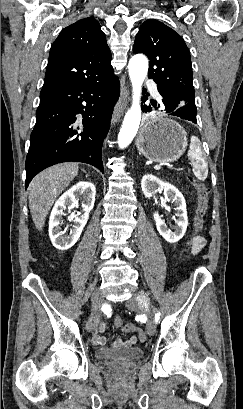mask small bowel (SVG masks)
<instances>
[{
	"label": "small bowel",
	"mask_w": 243,
	"mask_h": 409,
	"mask_svg": "<svg viewBox=\"0 0 243 409\" xmlns=\"http://www.w3.org/2000/svg\"><path fill=\"white\" fill-rule=\"evenodd\" d=\"M205 245H206V239L203 236H199L197 241L195 242L194 246L192 247V250H191L192 254L197 255L205 247ZM105 329H106V324L102 323L99 326L98 334L94 335V337H93V343L95 345L101 346V345H104L106 343V338H105V336L102 335V333H104ZM138 341H141L139 336L138 335L137 336L133 335V336H131V337L125 339V340L117 339L114 342V345L130 348L133 345H135Z\"/></svg>",
	"instance_id": "obj_1"
}]
</instances>
